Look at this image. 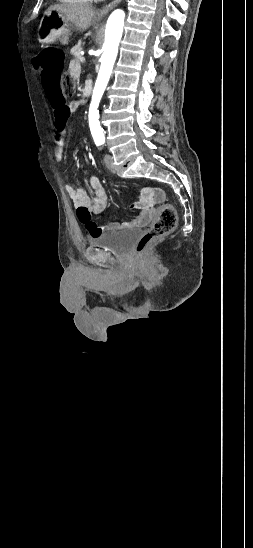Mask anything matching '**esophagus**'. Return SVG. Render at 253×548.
<instances>
[{"instance_id":"esophagus-1","label":"esophagus","mask_w":253,"mask_h":548,"mask_svg":"<svg viewBox=\"0 0 253 548\" xmlns=\"http://www.w3.org/2000/svg\"><path fill=\"white\" fill-rule=\"evenodd\" d=\"M122 0H113L112 2H110L109 4L105 5L104 7H102L99 12H98V15L100 16H103L105 15L106 13H108L116 4H118L119 2H121Z\"/></svg>"}]
</instances>
